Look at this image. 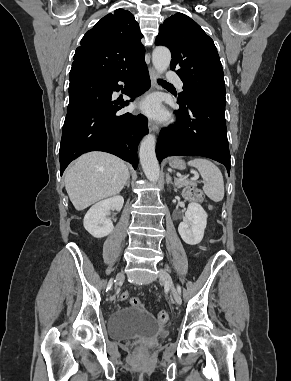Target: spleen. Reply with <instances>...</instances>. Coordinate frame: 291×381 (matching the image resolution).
<instances>
[{"label":"spleen","instance_id":"3e777b00","mask_svg":"<svg viewBox=\"0 0 291 381\" xmlns=\"http://www.w3.org/2000/svg\"><path fill=\"white\" fill-rule=\"evenodd\" d=\"M188 164L200 172L204 181V193L214 202L222 201L224 197V182L219 168L204 158H195L190 160Z\"/></svg>","mask_w":291,"mask_h":381}]
</instances>
